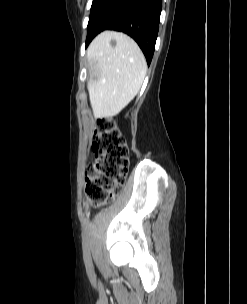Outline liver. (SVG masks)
<instances>
[{"label": "liver", "instance_id": "6515ba94", "mask_svg": "<svg viewBox=\"0 0 247 304\" xmlns=\"http://www.w3.org/2000/svg\"><path fill=\"white\" fill-rule=\"evenodd\" d=\"M112 39L115 47L110 44ZM87 57L93 114L95 118L113 117L139 92L147 70L145 57L133 39L115 31L100 33L88 47Z\"/></svg>", "mask_w": 247, "mask_h": 304}]
</instances>
